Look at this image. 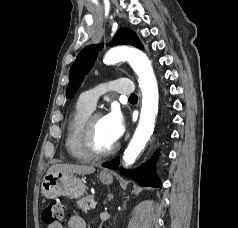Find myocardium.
I'll return each instance as SVG.
<instances>
[{"label": "myocardium", "instance_id": "f54148a6", "mask_svg": "<svg viewBox=\"0 0 238 228\" xmlns=\"http://www.w3.org/2000/svg\"><path fill=\"white\" fill-rule=\"evenodd\" d=\"M102 117L100 112H92L86 118L81 135V146L85 153L91 158H106L113 155L119 148L118 143H115L111 148L106 151H99L94 145V123L96 119Z\"/></svg>", "mask_w": 238, "mask_h": 228}]
</instances>
